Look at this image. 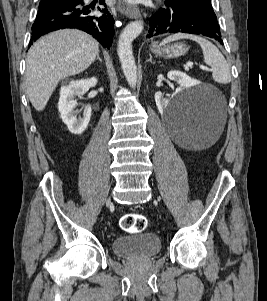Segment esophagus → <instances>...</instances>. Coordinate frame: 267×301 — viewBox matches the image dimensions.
<instances>
[{
    "label": "esophagus",
    "mask_w": 267,
    "mask_h": 301,
    "mask_svg": "<svg viewBox=\"0 0 267 301\" xmlns=\"http://www.w3.org/2000/svg\"><path fill=\"white\" fill-rule=\"evenodd\" d=\"M122 13L131 19H140L141 12L137 7L125 6L122 8Z\"/></svg>",
    "instance_id": "obj_1"
}]
</instances>
